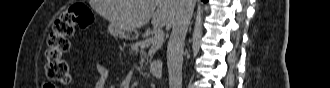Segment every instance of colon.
Here are the masks:
<instances>
[{
	"label": "colon",
	"instance_id": "5ec220e1",
	"mask_svg": "<svg viewBox=\"0 0 330 88\" xmlns=\"http://www.w3.org/2000/svg\"><path fill=\"white\" fill-rule=\"evenodd\" d=\"M94 21L92 11L83 3L76 2L64 10L54 23L46 50V76L57 83L67 84L71 80V70L64 54L70 47L69 37L76 27L88 29ZM53 86H47L50 88Z\"/></svg>",
	"mask_w": 330,
	"mask_h": 88
}]
</instances>
